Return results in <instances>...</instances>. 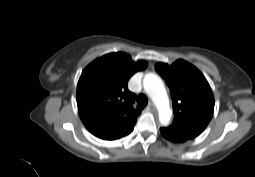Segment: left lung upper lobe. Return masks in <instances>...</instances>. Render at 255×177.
<instances>
[{
  "instance_id": "5c2ea615",
  "label": "left lung upper lobe",
  "mask_w": 255,
  "mask_h": 177,
  "mask_svg": "<svg viewBox=\"0 0 255 177\" xmlns=\"http://www.w3.org/2000/svg\"><path fill=\"white\" fill-rule=\"evenodd\" d=\"M155 69L169 86L173 103V123L163 129L181 142L197 137L214 111V96L206 78L184 60L171 65L159 62Z\"/></svg>"
}]
</instances>
